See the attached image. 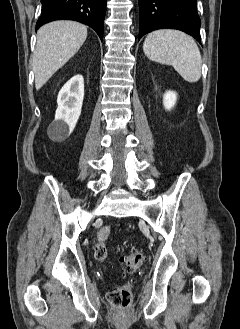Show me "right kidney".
<instances>
[{"label": "right kidney", "mask_w": 240, "mask_h": 329, "mask_svg": "<svg viewBox=\"0 0 240 329\" xmlns=\"http://www.w3.org/2000/svg\"><path fill=\"white\" fill-rule=\"evenodd\" d=\"M84 80L82 75L72 77L60 90L55 120L49 131L56 138L68 137L76 126L82 109Z\"/></svg>", "instance_id": "obj_1"}]
</instances>
